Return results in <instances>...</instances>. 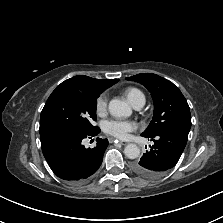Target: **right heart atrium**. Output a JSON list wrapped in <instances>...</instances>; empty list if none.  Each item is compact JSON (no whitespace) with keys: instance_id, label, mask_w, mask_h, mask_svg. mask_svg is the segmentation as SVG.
I'll return each mask as SVG.
<instances>
[{"instance_id":"obj_1","label":"right heart atrium","mask_w":223,"mask_h":223,"mask_svg":"<svg viewBox=\"0 0 223 223\" xmlns=\"http://www.w3.org/2000/svg\"><path fill=\"white\" fill-rule=\"evenodd\" d=\"M108 98L106 94H101L95 103V109L97 114L102 115L107 110Z\"/></svg>"}]
</instances>
